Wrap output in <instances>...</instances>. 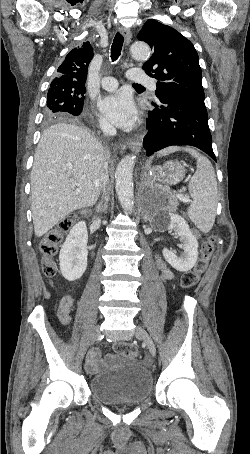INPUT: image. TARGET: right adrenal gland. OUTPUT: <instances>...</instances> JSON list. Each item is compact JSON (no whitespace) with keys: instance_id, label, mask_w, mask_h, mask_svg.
Here are the masks:
<instances>
[{"instance_id":"2a0ac1e0","label":"right adrenal gland","mask_w":250,"mask_h":454,"mask_svg":"<svg viewBox=\"0 0 250 454\" xmlns=\"http://www.w3.org/2000/svg\"><path fill=\"white\" fill-rule=\"evenodd\" d=\"M108 201H109V193L106 191V196L104 198V202H100L97 207H96V211L98 213H101V212H106L107 210V207H108Z\"/></svg>"}]
</instances>
